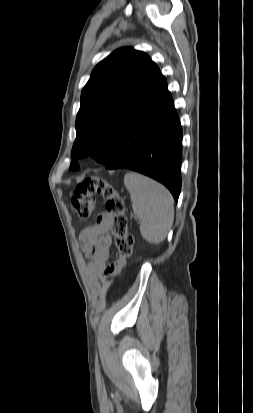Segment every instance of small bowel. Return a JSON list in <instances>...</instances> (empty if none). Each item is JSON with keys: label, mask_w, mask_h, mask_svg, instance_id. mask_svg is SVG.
I'll use <instances>...</instances> for the list:
<instances>
[{"label": "small bowel", "mask_w": 253, "mask_h": 413, "mask_svg": "<svg viewBox=\"0 0 253 413\" xmlns=\"http://www.w3.org/2000/svg\"><path fill=\"white\" fill-rule=\"evenodd\" d=\"M112 224V216L108 212H102L97 216L95 224L85 227L79 237L81 247L90 259V270L106 278L117 275L125 264L117 261L107 265L112 243Z\"/></svg>", "instance_id": "small-bowel-1"}]
</instances>
